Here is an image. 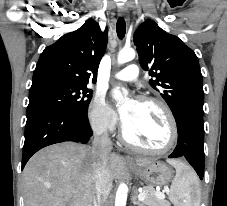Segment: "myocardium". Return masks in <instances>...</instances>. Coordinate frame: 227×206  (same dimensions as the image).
I'll list each match as a JSON object with an SVG mask.
<instances>
[{
  "instance_id": "f54148a6",
  "label": "myocardium",
  "mask_w": 227,
  "mask_h": 206,
  "mask_svg": "<svg viewBox=\"0 0 227 206\" xmlns=\"http://www.w3.org/2000/svg\"><path fill=\"white\" fill-rule=\"evenodd\" d=\"M138 100L140 103L154 104L162 109V111L164 112V114L168 120L169 127H170L169 141L164 147L159 148V149L145 148V147H142V146L136 144L134 141H132L130 139V137L128 136V134L125 130V127H123V129H122L123 140L125 141V143L127 145H129L133 149L143 152V153L160 155V154H165V153L169 152L175 146V144L177 143V140H178V125H177V121L175 119V116H174L171 108L168 106V104L165 101H163L160 98L153 97V96H140Z\"/></svg>"
}]
</instances>
